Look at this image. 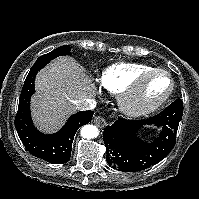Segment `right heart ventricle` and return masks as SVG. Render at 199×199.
Returning a JSON list of instances; mask_svg holds the SVG:
<instances>
[{"label":"right heart ventricle","instance_id":"e07e8e85","mask_svg":"<svg viewBox=\"0 0 199 199\" xmlns=\"http://www.w3.org/2000/svg\"><path fill=\"white\" fill-rule=\"evenodd\" d=\"M154 69L141 63H116L105 68L99 78L100 85L111 93L127 89L140 74Z\"/></svg>","mask_w":199,"mask_h":199}]
</instances>
